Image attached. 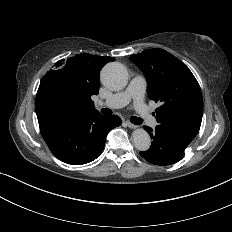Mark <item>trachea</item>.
Masks as SVG:
<instances>
[{"instance_id": "3493384b", "label": "trachea", "mask_w": 232, "mask_h": 232, "mask_svg": "<svg viewBox=\"0 0 232 232\" xmlns=\"http://www.w3.org/2000/svg\"><path fill=\"white\" fill-rule=\"evenodd\" d=\"M101 112L103 114H105V115H111L112 114V110L109 109V108H104V109H102ZM130 121L135 125H140L142 123V119L140 117H135V116H131Z\"/></svg>"}]
</instances>
